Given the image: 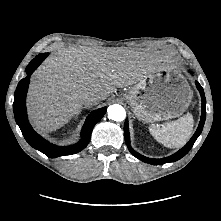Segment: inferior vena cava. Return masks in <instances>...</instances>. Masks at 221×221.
Returning a JSON list of instances; mask_svg holds the SVG:
<instances>
[{"instance_id":"inferior-vena-cava-1","label":"inferior vena cava","mask_w":221,"mask_h":221,"mask_svg":"<svg viewBox=\"0 0 221 221\" xmlns=\"http://www.w3.org/2000/svg\"><path fill=\"white\" fill-rule=\"evenodd\" d=\"M99 102V95L96 92H86L83 95V103L85 106L90 107L96 105Z\"/></svg>"}]
</instances>
